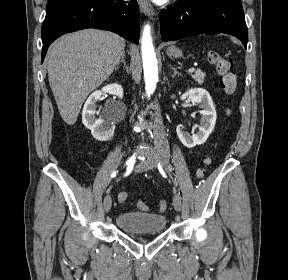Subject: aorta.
<instances>
[{
	"label": "aorta",
	"instance_id": "1",
	"mask_svg": "<svg viewBox=\"0 0 288 280\" xmlns=\"http://www.w3.org/2000/svg\"><path fill=\"white\" fill-rule=\"evenodd\" d=\"M141 51L144 69L145 90L148 96H150L158 81V62L153 47L152 37L150 33V26L146 25L143 30ZM138 120H144L145 111H140ZM140 136H145L146 126H141Z\"/></svg>",
	"mask_w": 288,
	"mask_h": 280
}]
</instances>
